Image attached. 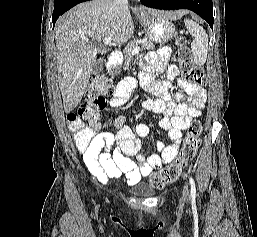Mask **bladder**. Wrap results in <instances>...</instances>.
Listing matches in <instances>:
<instances>
[{
    "label": "bladder",
    "mask_w": 257,
    "mask_h": 237,
    "mask_svg": "<svg viewBox=\"0 0 257 237\" xmlns=\"http://www.w3.org/2000/svg\"><path fill=\"white\" fill-rule=\"evenodd\" d=\"M133 193L142 198H148L155 195L156 190L147 184H137L133 187Z\"/></svg>",
    "instance_id": "obj_1"
}]
</instances>
